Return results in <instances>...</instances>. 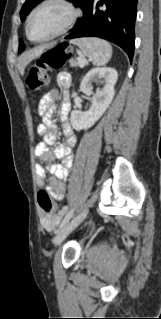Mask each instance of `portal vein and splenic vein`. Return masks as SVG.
Returning a JSON list of instances; mask_svg holds the SVG:
<instances>
[{"instance_id": "portal-vein-and-splenic-vein-1", "label": "portal vein and splenic vein", "mask_w": 161, "mask_h": 319, "mask_svg": "<svg viewBox=\"0 0 161 319\" xmlns=\"http://www.w3.org/2000/svg\"><path fill=\"white\" fill-rule=\"evenodd\" d=\"M77 60H78V62H79V66H80V67H83V66H84V63H85V62H84V59H83L82 57H78Z\"/></svg>"}]
</instances>
